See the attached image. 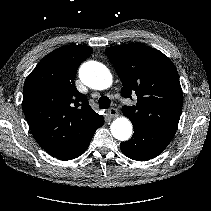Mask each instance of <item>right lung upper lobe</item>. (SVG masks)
<instances>
[{"instance_id":"1","label":"right lung upper lobe","mask_w":211,"mask_h":211,"mask_svg":"<svg viewBox=\"0 0 211 211\" xmlns=\"http://www.w3.org/2000/svg\"><path fill=\"white\" fill-rule=\"evenodd\" d=\"M92 51L76 45L56 49L25 81V117L36 141L53 157L72 149L104 121L74 84L78 66Z\"/></svg>"}]
</instances>
